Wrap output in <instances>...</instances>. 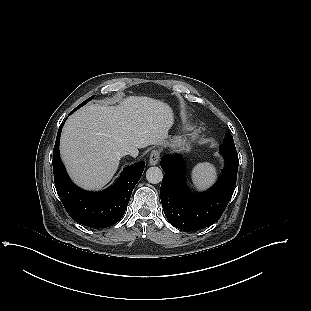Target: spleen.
Returning a JSON list of instances; mask_svg holds the SVG:
<instances>
[{"label":"spleen","instance_id":"3e777b00","mask_svg":"<svg viewBox=\"0 0 311 311\" xmlns=\"http://www.w3.org/2000/svg\"><path fill=\"white\" fill-rule=\"evenodd\" d=\"M216 168L209 162L198 163L192 170L194 186L199 190L210 187L216 179Z\"/></svg>","mask_w":311,"mask_h":311}]
</instances>
